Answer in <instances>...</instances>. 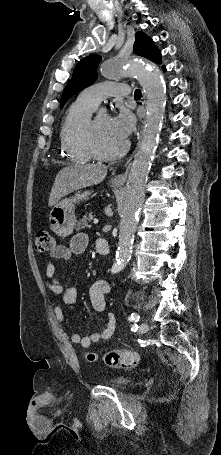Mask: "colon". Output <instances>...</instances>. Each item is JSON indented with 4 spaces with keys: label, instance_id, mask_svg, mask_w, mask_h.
Segmentation results:
<instances>
[{
    "label": "colon",
    "instance_id": "5ec220e1",
    "mask_svg": "<svg viewBox=\"0 0 221 455\" xmlns=\"http://www.w3.org/2000/svg\"><path fill=\"white\" fill-rule=\"evenodd\" d=\"M35 247L40 253L51 252L54 249L51 234L46 230H39L36 234ZM87 358L91 362L101 361L112 368H134L140 363V356L135 351H109L101 356L89 353Z\"/></svg>",
    "mask_w": 221,
    "mask_h": 455
}]
</instances>
